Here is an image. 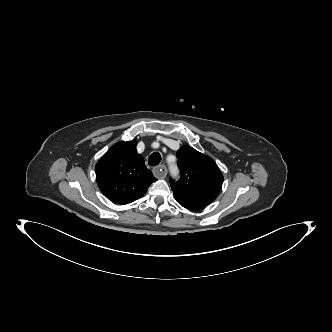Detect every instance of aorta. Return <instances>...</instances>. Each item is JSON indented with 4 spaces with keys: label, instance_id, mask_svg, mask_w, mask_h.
Segmentation results:
<instances>
[{
    "label": "aorta",
    "instance_id": "1",
    "mask_svg": "<svg viewBox=\"0 0 332 332\" xmlns=\"http://www.w3.org/2000/svg\"><path fill=\"white\" fill-rule=\"evenodd\" d=\"M170 171L173 175H176L178 173V169L175 165H170Z\"/></svg>",
    "mask_w": 332,
    "mask_h": 332
}]
</instances>
